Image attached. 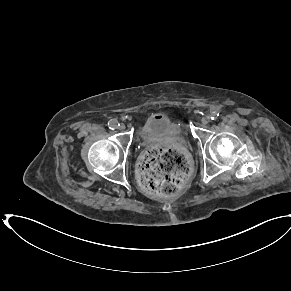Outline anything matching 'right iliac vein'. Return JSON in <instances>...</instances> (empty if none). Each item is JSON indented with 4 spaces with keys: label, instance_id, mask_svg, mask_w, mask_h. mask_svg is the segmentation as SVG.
Masks as SVG:
<instances>
[{
    "label": "right iliac vein",
    "instance_id": "1",
    "mask_svg": "<svg viewBox=\"0 0 291 291\" xmlns=\"http://www.w3.org/2000/svg\"><path fill=\"white\" fill-rule=\"evenodd\" d=\"M117 128L119 130H124L125 129V125L123 123H121Z\"/></svg>",
    "mask_w": 291,
    "mask_h": 291
}]
</instances>
